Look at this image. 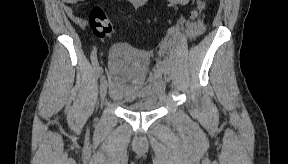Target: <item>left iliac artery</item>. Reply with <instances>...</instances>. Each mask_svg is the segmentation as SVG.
<instances>
[{
    "label": "left iliac artery",
    "instance_id": "1",
    "mask_svg": "<svg viewBox=\"0 0 288 164\" xmlns=\"http://www.w3.org/2000/svg\"><path fill=\"white\" fill-rule=\"evenodd\" d=\"M164 62H165V64L168 65V66L171 65V62H170L169 58H165Z\"/></svg>",
    "mask_w": 288,
    "mask_h": 164
}]
</instances>
